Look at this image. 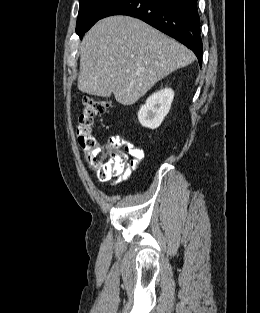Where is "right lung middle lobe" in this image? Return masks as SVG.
Returning <instances> with one entry per match:
<instances>
[{
  "label": "right lung middle lobe",
  "mask_w": 260,
  "mask_h": 313,
  "mask_svg": "<svg viewBox=\"0 0 260 313\" xmlns=\"http://www.w3.org/2000/svg\"><path fill=\"white\" fill-rule=\"evenodd\" d=\"M118 0H80L76 33L83 37L103 14Z\"/></svg>",
  "instance_id": "right-lung-middle-lobe-1"
}]
</instances>
